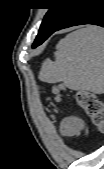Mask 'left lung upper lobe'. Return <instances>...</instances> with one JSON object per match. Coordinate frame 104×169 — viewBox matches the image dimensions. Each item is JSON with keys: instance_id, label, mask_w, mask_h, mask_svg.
<instances>
[{"instance_id": "left-lung-upper-lobe-1", "label": "left lung upper lobe", "mask_w": 104, "mask_h": 169, "mask_svg": "<svg viewBox=\"0 0 104 169\" xmlns=\"http://www.w3.org/2000/svg\"><path fill=\"white\" fill-rule=\"evenodd\" d=\"M52 7L46 13L39 30L44 34L53 31L73 9L77 0H49Z\"/></svg>"}]
</instances>
